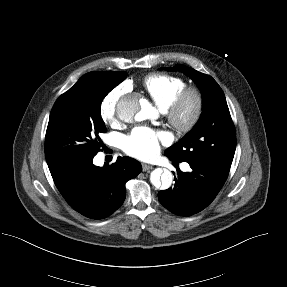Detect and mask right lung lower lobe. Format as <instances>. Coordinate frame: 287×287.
<instances>
[{
    "mask_svg": "<svg viewBox=\"0 0 287 287\" xmlns=\"http://www.w3.org/2000/svg\"><path fill=\"white\" fill-rule=\"evenodd\" d=\"M93 157L52 174L55 185L77 212L91 219H103L115 212L126 197L125 184L141 171V164L130 157L116 163L93 165Z\"/></svg>",
    "mask_w": 287,
    "mask_h": 287,
    "instance_id": "98d812e1",
    "label": "right lung lower lobe"
}]
</instances>
